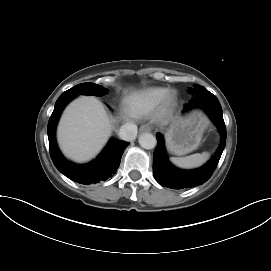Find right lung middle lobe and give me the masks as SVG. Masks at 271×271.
Instances as JSON below:
<instances>
[{"label": "right lung middle lobe", "instance_id": "1", "mask_svg": "<svg viewBox=\"0 0 271 271\" xmlns=\"http://www.w3.org/2000/svg\"><path fill=\"white\" fill-rule=\"evenodd\" d=\"M108 91L101 85H97L94 83H82L72 87L71 89L65 91L62 96H72L76 97L79 94L85 95H95V96H103L107 94Z\"/></svg>", "mask_w": 271, "mask_h": 271}]
</instances>
